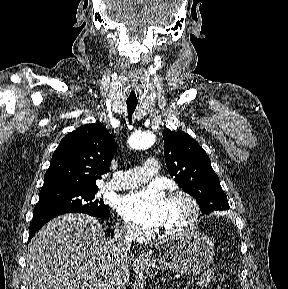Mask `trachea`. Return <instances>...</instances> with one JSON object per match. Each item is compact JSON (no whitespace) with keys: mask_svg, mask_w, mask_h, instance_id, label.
<instances>
[{"mask_svg":"<svg viewBox=\"0 0 288 289\" xmlns=\"http://www.w3.org/2000/svg\"><path fill=\"white\" fill-rule=\"evenodd\" d=\"M131 78L133 80V83L130 84L125 90V93L127 96L126 105H127V110H128V119L130 123L132 119V114L137 107V104H138L137 99L139 97L138 89L134 83L135 81L139 79V76L138 74L134 73Z\"/></svg>","mask_w":288,"mask_h":289,"instance_id":"trachea-1","label":"trachea"}]
</instances>
